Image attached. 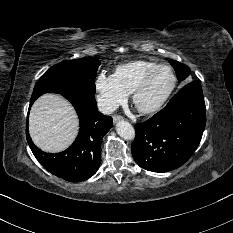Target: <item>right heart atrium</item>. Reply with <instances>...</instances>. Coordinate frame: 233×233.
Segmentation results:
<instances>
[{"mask_svg": "<svg viewBox=\"0 0 233 233\" xmlns=\"http://www.w3.org/2000/svg\"><path fill=\"white\" fill-rule=\"evenodd\" d=\"M94 88L98 105L106 112L115 110L128 98V93L118 84L115 77L105 72H100L96 76Z\"/></svg>", "mask_w": 233, "mask_h": 233, "instance_id": "right-heart-atrium-1", "label": "right heart atrium"}]
</instances>
